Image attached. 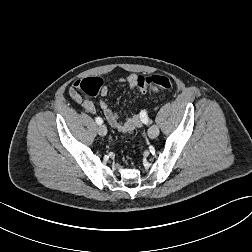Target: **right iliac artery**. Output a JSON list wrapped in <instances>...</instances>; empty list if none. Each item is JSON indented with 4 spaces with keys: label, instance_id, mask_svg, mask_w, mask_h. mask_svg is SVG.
Wrapping results in <instances>:
<instances>
[{
    "label": "right iliac artery",
    "instance_id": "1",
    "mask_svg": "<svg viewBox=\"0 0 252 252\" xmlns=\"http://www.w3.org/2000/svg\"><path fill=\"white\" fill-rule=\"evenodd\" d=\"M95 120L98 125H101L103 123V120L100 117H97Z\"/></svg>",
    "mask_w": 252,
    "mask_h": 252
}]
</instances>
